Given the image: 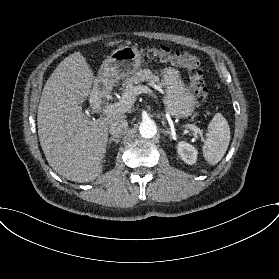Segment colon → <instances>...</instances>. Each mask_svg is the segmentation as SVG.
Listing matches in <instances>:
<instances>
[{"mask_svg": "<svg viewBox=\"0 0 279 279\" xmlns=\"http://www.w3.org/2000/svg\"><path fill=\"white\" fill-rule=\"evenodd\" d=\"M140 52L144 56L186 68L190 72L189 80L193 93L202 100L207 98L208 88L205 73L201 68L199 58L194 53L182 52L173 50L167 46L155 45L141 47Z\"/></svg>", "mask_w": 279, "mask_h": 279, "instance_id": "5ec220e1", "label": "colon"}]
</instances>
